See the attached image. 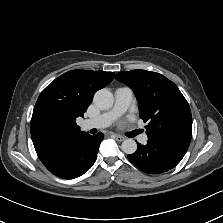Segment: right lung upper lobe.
Here are the masks:
<instances>
[{
	"instance_id": "obj_1",
	"label": "right lung upper lobe",
	"mask_w": 223,
	"mask_h": 223,
	"mask_svg": "<svg viewBox=\"0 0 223 223\" xmlns=\"http://www.w3.org/2000/svg\"><path fill=\"white\" fill-rule=\"evenodd\" d=\"M113 72L71 70L52 81L40 94L31 119V137L39 159L56 160L84 133L76 124L95 92L108 85Z\"/></svg>"
}]
</instances>
